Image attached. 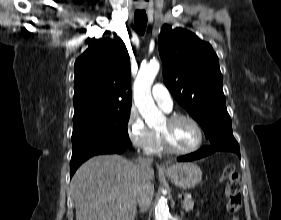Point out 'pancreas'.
Masks as SVG:
<instances>
[{
  "label": "pancreas",
  "mask_w": 281,
  "mask_h": 220,
  "mask_svg": "<svg viewBox=\"0 0 281 220\" xmlns=\"http://www.w3.org/2000/svg\"><path fill=\"white\" fill-rule=\"evenodd\" d=\"M193 207H194V200L192 198L185 196L182 201V208L186 211H190L193 209Z\"/></svg>",
  "instance_id": "cf45deb5"
}]
</instances>
